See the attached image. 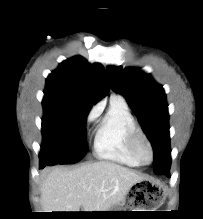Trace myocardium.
Here are the masks:
<instances>
[{
	"mask_svg": "<svg viewBox=\"0 0 203 219\" xmlns=\"http://www.w3.org/2000/svg\"><path fill=\"white\" fill-rule=\"evenodd\" d=\"M140 142H144L149 149V152H150L149 161H145L140 154V151H139ZM129 144H130L132 153L142 165H149L150 163H152L154 159V148H153L151 141L149 140V138L147 137V135L144 133L142 129H140L137 126L133 129L129 137Z\"/></svg>",
	"mask_w": 203,
	"mask_h": 219,
	"instance_id": "obj_1",
	"label": "myocardium"
}]
</instances>
